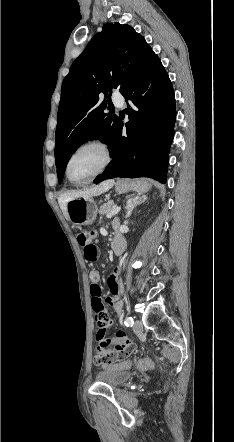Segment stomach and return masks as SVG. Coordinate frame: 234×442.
Instances as JSON below:
<instances>
[{
    "instance_id": "stomach-1",
    "label": "stomach",
    "mask_w": 234,
    "mask_h": 442,
    "mask_svg": "<svg viewBox=\"0 0 234 442\" xmlns=\"http://www.w3.org/2000/svg\"><path fill=\"white\" fill-rule=\"evenodd\" d=\"M151 184L146 180H122L119 179L115 184V190L119 194L135 191L138 193L147 192ZM67 217L75 225H89L95 220L97 215V205L91 199L76 198L66 205Z\"/></svg>"
}]
</instances>
